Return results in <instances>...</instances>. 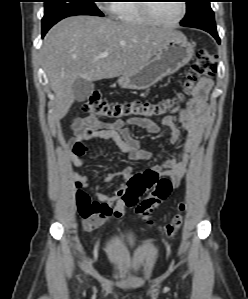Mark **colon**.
Masks as SVG:
<instances>
[{"label":"colon","mask_w":248,"mask_h":299,"mask_svg":"<svg viewBox=\"0 0 248 299\" xmlns=\"http://www.w3.org/2000/svg\"><path fill=\"white\" fill-rule=\"evenodd\" d=\"M217 63L215 56L206 49H201L196 53L190 69L186 75L184 86L186 90L192 88L199 80L211 77L215 74ZM178 98L152 103L147 101L130 102H110L99 93H92L86 99L83 110L87 114L97 118L111 120H125L129 118L153 119L162 116L172 108ZM173 187L171 181L161 177L158 172L147 169L143 172L133 174L127 181L120 198L126 207H134L138 199L145 192L149 195L144 198L137 207L138 215L148 224L152 211L171 193ZM77 209L81 217H89L94 214L91 208V199L84 192H77ZM184 204L179 205V212L173 217L172 221L162 227L163 233L167 237H173L183 226Z\"/></svg>","instance_id":"1"}]
</instances>
